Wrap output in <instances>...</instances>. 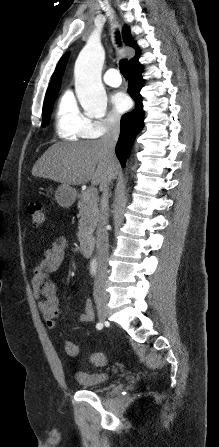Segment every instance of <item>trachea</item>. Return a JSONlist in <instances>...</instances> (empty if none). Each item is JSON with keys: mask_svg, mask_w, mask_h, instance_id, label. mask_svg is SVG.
Returning a JSON list of instances; mask_svg holds the SVG:
<instances>
[{"mask_svg": "<svg viewBox=\"0 0 219 447\" xmlns=\"http://www.w3.org/2000/svg\"><path fill=\"white\" fill-rule=\"evenodd\" d=\"M116 37H117L118 43H120V35L118 32H117ZM127 71H128V60H122L120 62V72L125 78H127Z\"/></svg>", "mask_w": 219, "mask_h": 447, "instance_id": "obj_1", "label": "trachea"}]
</instances>
